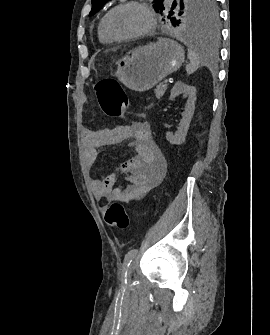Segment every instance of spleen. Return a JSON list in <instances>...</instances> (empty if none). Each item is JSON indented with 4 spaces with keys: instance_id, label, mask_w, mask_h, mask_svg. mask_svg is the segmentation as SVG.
<instances>
[{
    "instance_id": "1",
    "label": "spleen",
    "mask_w": 270,
    "mask_h": 335,
    "mask_svg": "<svg viewBox=\"0 0 270 335\" xmlns=\"http://www.w3.org/2000/svg\"><path fill=\"white\" fill-rule=\"evenodd\" d=\"M181 42H184L183 38H181ZM184 44H186L189 48L188 58L191 62V64L187 66V74H193V72H196L201 62H210L211 56L209 54V50H207V46H205V44H202L201 40L194 42V44H188V42H184Z\"/></svg>"
}]
</instances>
